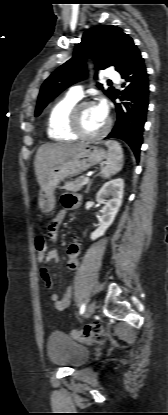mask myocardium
Returning a JSON list of instances; mask_svg holds the SVG:
<instances>
[{
  "instance_id": "f54148a6",
  "label": "myocardium",
  "mask_w": 168,
  "mask_h": 415,
  "mask_svg": "<svg viewBox=\"0 0 168 415\" xmlns=\"http://www.w3.org/2000/svg\"><path fill=\"white\" fill-rule=\"evenodd\" d=\"M92 101H81L77 102L74 107L72 108L69 116V126L71 131L78 137L84 140H96L102 138L104 135L107 134L111 127V120L109 118L106 119V123L104 127L97 133L89 134L86 133L81 126L80 122V113L82 109L86 106L92 105Z\"/></svg>"
}]
</instances>
